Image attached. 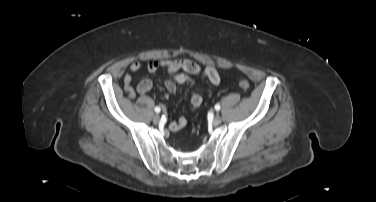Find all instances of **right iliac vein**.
Here are the masks:
<instances>
[{
    "instance_id": "obj_1",
    "label": "right iliac vein",
    "mask_w": 376,
    "mask_h": 202,
    "mask_svg": "<svg viewBox=\"0 0 376 202\" xmlns=\"http://www.w3.org/2000/svg\"><path fill=\"white\" fill-rule=\"evenodd\" d=\"M154 123H158L160 121V116L158 114L153 116Z\"/></svg>"
}]
</instances>
